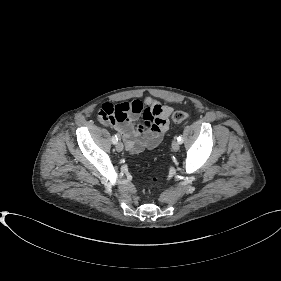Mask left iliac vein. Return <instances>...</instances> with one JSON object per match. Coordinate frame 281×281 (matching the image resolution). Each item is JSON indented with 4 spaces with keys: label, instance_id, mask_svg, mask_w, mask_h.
Instances as JSON below:
<instances>
[{
    "label": "left iliac vein",
    "instance_id": "1",
    "mask_svg": "<svg viewBox=\"0 0 281 281\" xmlns=\"http://www.w3.org/2000/svg\"><path fill=\"white\" fill-rule=\"evenodd\" d=\"M179 148H180V143H179V141H177V140L173 141V142H172V150L176 152V151L179 150Z\"/></svg>",
    "mask_w": 281,
    "mask_h": 281
}]
</instances>
